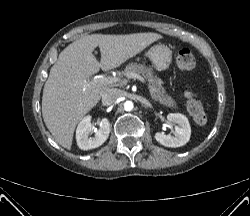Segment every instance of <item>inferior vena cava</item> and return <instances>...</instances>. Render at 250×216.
<instances>
[{
    "mask_svg": "<svg viewBox=\"0 0 250 216\" xmlns=\"http://www.w3.org/2000/svg\"><path fill=\"white\" fill-rule=\"evenodd\" d=\"M123 96V92L120 89L111 88L106 90L102 94V101L105 104H112Z\"/></svg>",
    "mask_w": 250,
    "mask_h": 216,
    "instance_id": "inferior-vena-cava-1",
    "label": "inferior vena cava"
}]
</instances>
